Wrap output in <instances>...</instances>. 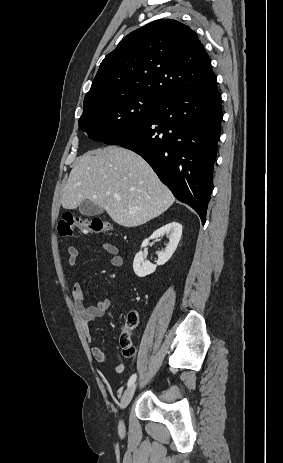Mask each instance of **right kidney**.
<instances>
[{
	"instance_id": "right-kidney-1",
	"label": "right kidney",
	"mask_w": 283,
	"mask_h": 463,
	"mask_svg": "<svg viewBox=\"0 0 283 463\" xmlns=\"http://www.w3.org/2000/svg\"><path fill=\"white\" fill-rule=\"evenodd\" d=\"M167 235L169 243L164 251L158 252V260L156 264H151L146 260L142 251H139L133 261V270L138 277H145L152 274L158 265L165 264L175 252L177 245L182 235V225L178 222H171L159 228L148 238L142 242L141 248L147 246L149 240Z\"/></svg>"
}]
</instances>
